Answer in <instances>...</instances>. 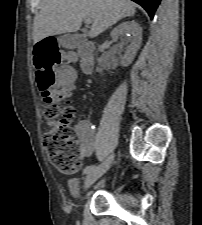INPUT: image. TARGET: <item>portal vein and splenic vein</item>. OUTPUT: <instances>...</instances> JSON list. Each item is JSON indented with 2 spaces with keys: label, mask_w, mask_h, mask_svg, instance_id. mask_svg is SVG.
Wrapping results in <instances>:
<instances>
[{
  "label": "portal vein and splenic vein",
  "mask_w": 202,
  "mask_h": 225,
  "mask_svg": "<svg viewBox=\"0 0 202 225\" xmlns=\"http://www.w3.org/2000/svg\"><path fill=\"white\" fill-rule=\"evenodd\" d=\"M92 21H91V19L90 18H85V23L86 24H90Z\"/></svg>",
  "instance_id": "1"
}]
</instances>
